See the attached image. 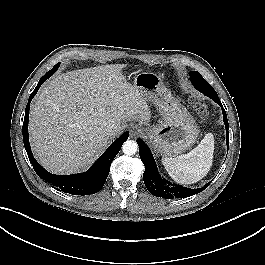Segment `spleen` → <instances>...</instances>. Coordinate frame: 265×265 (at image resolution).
Returning <instances> with one entry per match:
<instances>
[{
    "label": "spleen",
    "instance_id": "3e777b00",
    "mask_svg": "<svg viewBox=\"0 0 265 265\" xmlns=\"http://www.w3.org/2000/svg\"><path fill=\"white\" fill-rule=\"evenodd\" d=\"M214 153V136L205 135L200 144L187 154L175 158H162V164L170 177L181 184H193L209 172Z\"/></svg>",
    "mask_w": 265,
    "mask_h": 265
}]
</instances>
